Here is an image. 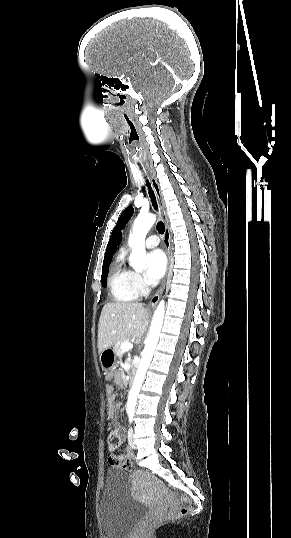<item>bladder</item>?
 Segmentation results:
<instances>
[{
  "label": "bladder",
  "mask_w": 291,
  "mask_h": 538,
  "mask_svg": "<svg viewBox=\"0 0 291 538\" xmlns=\"http://www.w3.org/2000/svg\"><path fill=\"white\" fill-rule=\"evenodd\" d=\"M148 507L133 498L126 473L109 469L99 501L98 518L106 538H126Z\"/></svg>",
  "instance_id": "1"
}]
</instances>
